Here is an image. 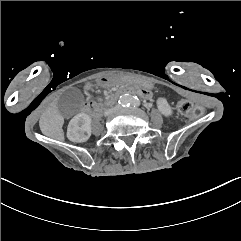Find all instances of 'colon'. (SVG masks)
<instances>
[{"label":"colon","mask_w":241,"mask_h":241,"mask_svg":"<svg viewBox=\"0 0 241 241\" xmlns=\"http://www.w3.org/2000/svg\"><path fill=\"white\" fill-rule=\"evenodd\" d=\"M179 112L188 118H199L204 113V108L201 105H194L188 101H180L177 105Z\"/></svg>","instance_id":"5ec220e1"}]
</instances>
